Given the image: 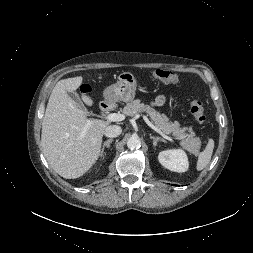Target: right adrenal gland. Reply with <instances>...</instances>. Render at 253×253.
<instances>
[{
    "mask_svg": "<svg viewBox=\"0 0 253 253\" xmlns=\"http://www.w3.org/2000/svg\"><path fill=\"white\" fill-rule=\"evenodd\" d=\"M112 141H113V139H109V140L104 142L103 147H102L101 152H100L101 157L104 154L105 147L110 148V143H112Z\"/></svg>",
    "mask_w": 253,
    "mask_h": 253,
    "instance_id": "right-adrenal-gland-1",
    "label": "right adrenal gland"
}]
</instances>
